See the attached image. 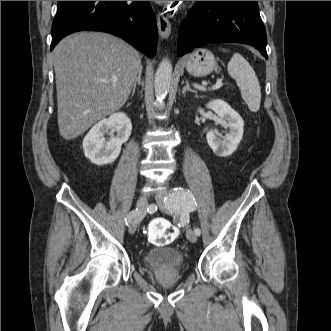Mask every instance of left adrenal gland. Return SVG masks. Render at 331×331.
Masks as SVG:
<instances>
[{
  "mask_svg": "<svg viewBox=\"0 0 331 331\" xmlns=\"http://www.w3.org/2000/svg\"><path fill=\"white\" fill-rule=\"evenodd\" d=\"M185 83H186V85L183 87L182 94H185L187 91L196 93L195 90H193V89L190 88L189 83H188L187 80H186Z\"/></svg>",
  "mask_w": 331,
  "mask_h": 331,
  "instance_id": "1",
  "label": "left adrenal gland"
}]
</instances>
